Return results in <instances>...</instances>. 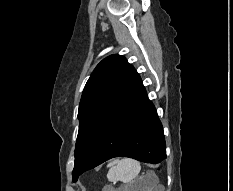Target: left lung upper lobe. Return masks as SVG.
I'll use <instances>...</instances> for the list:
<instances>
[{"label":"left lung upper lobe","mask_w":233,"mask_h":191,"mask_svg":"<svg viewBox=\"0 0 233 191\" xmlns=\"http://www.w3.org/2000/svg\"><path fill=\"white\" fill-rule=\"evenodd\" d=\"M140 80L134 67L120 55L103 59L94 69L79 105L80 125L72 175L82 168L97 140Z\"/></svg>","instance_id":"1"}]
</instances>
